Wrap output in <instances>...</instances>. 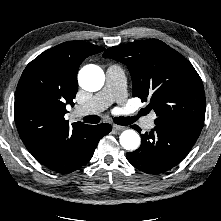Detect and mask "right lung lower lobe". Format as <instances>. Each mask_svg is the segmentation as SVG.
<instances>
[{"mask_svg": "<svg viewBox=\"0 0 221 221\" xmlns=\"http://www.w3.org/2000/svg\"><path fill=\"white\" fill-rule=\"evenodd\" d=\"M111 130L110 124L89 125L73 137L58 159L42 164L57 173H71L89 162L99 140Z\"/></svg>", "mask_w": 221, "mask_h": 221, "instance_id": "obj_1", "label": "right lung lower lobe"}]
</instances>
